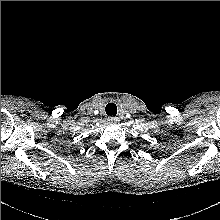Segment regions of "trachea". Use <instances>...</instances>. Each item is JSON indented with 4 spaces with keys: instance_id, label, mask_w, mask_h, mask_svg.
<instances>
[{
    "instance_id": "trachea-1",
    "label": "trachea",
    "mask_w": 220,
    "mask_h": 220,
    "mask_svg": "<svg viewBox=\"0 0 220 220\" xmlns=\"http://www.w3.org/2000/svg\"><path fill=\"white\" fill-rule=\"evenodd\" d=\"M106 114L108 116H116L117 114V106L115 103H108L105 107Z\"/></svg>"
}]
</instances>
